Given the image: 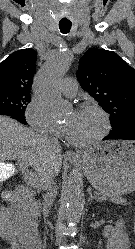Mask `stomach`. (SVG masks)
<instances>
[{"mask_svg": "<svg viewBox=\"0 0 135 249\" xmlns=\"http://www.w3.org/2000/svg\"><path fill=\"white\" fill-rule=\"evenodd\" d=\"M79 165L89 182L110 195L135 191V142L112 140L96 145L81 155Z\"/></svg>", "mask_w": 135, "mask_h": 249, "instance_id": "0dacf381", "label": "stomach"}]
</instances>
